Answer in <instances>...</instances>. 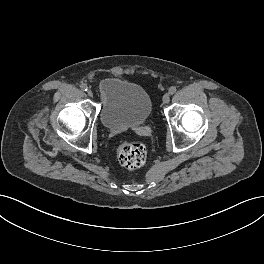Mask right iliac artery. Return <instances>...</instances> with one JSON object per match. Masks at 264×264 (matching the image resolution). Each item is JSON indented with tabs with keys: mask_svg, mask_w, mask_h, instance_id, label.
Returning <instances> with one entry per match:
<instances>
[{
	"mask_svg": "<svg viewBox=\"0 0 264 264\" xmlns=\"http://www.w3.org/2000/svg\"><path fill=\"white\" fill-rule=\"evenodd\" d=\"M80 88H81L83 91H87V90H88V87H87L86 84H82V85L80 86Z\"/></svg>",
	"mask_w": 264,
	"mask_h": 264,
	"instance_id": "obj_1",
	"label": "right iliac artery"
}]
</instances>
